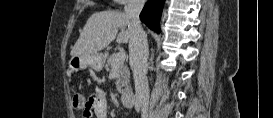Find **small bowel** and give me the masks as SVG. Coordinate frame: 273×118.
I'll use <instances>...</instances> for the list:
<instances>
[{
  "label": "small bowel",
  "mask_w": 273,
  "mask_h": 118,
  "mask_svg": "<svg viewBox=\"0 0 273 118\" xmlns=\"http://www.w3.org/2000/svg\"><path fill=\"white\" fill-rule=\"evenodd\" d=\"M107 94L101 89H96L88 101V108L84 113V117L91 118H107Z\"/></svg>",
  "instance_id": "c3829d8e"
}]
</instances>
